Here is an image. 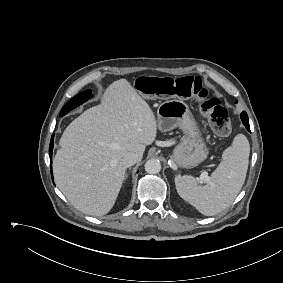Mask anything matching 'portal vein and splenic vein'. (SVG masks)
Listing matches in <instances>:
<instances>
[{
    "label": "portal vein and splenic vein",
    "mask_w": 283,
    "mask_h": 283,
    "mask_svg": "<svg viewBox=\"0 0 283 283\" xmlns=\"http://www.w3.org/2000/svg\"><path fill=\"white\" fill-rule=\"evenodd\" d=\"M200 180L204 181V180H208V173L207 172H202V174L200 175Z\"/></svg>",
    "instance_id": "1"
}]
</instances>
